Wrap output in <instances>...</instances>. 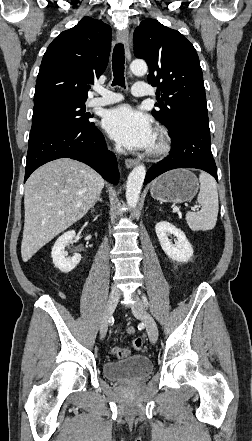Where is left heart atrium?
Returning <instances> with one entry per match:
<instances>
[{"label":"left heart atrium","mask_w":252,"mask_h":441,"mask_svg":"<svg viewBox=\"0 0 252 441\" xmlns=\"http://www.w3.org/2000/svg\"><path fill=\"white\" fill-rule=\"evenodd\" d=\"M103 127L117 143L130 150L151 149L155 143L150 118L129 105L109 110Z\"/></svg>","instance_id":"obj_1"}]
</instances>
